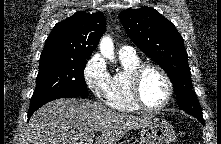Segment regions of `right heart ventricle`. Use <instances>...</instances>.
Wrapping results in <instances>:
<instances>
[{"instance_id":"e07e8e85","label":"right heart ventricle","mask_w":221,"mask_h":144,"mask_svg":"<svg viewBox=\"0 0 221 144\" xmlns=\"http://www.w3.org/2000/svg\"><path fill=\"white\" fill-rule=\"evenodd\" d=\"M122 70L111 77V94L107 100L110 107L124 112L137 111L139 108L134 104L130 95L129 75L131 71L140 65L138 57L120 56Z\"/></svg>"}]
</instances>
